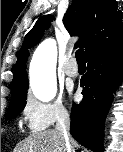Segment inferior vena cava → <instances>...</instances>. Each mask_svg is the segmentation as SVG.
<instances>
[{
    "label": "inferior vena cava",
    "mask_w": 123,
    "mask_h": 152,
    "mask_svg": "<svg viewBox=\"0 0 123 152\" xmlns=\"http://www.w3.org/2000/svg\"><path fill=\"white\" fill-rule=\"evenodd\" d=\"M56 130L62 136L66 146V152H75L70 137V117L67 111H61L57 117Z\"/></svg>",
    "instance_id": "602c4592"
}]
</instances>
